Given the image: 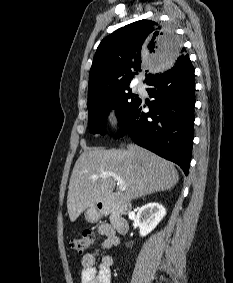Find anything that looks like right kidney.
<instances>
[{"label":"right kidney","mask_w":233,"mask_h":283,"mask_svg":"<svg viewBox=\"0 0 233 283\" xmlns=\"http://www.w3.org/2000/svg\"><path fill=\"white\" fill-rule=\"evenodd\" d=\"M166 215L165 208L156 202L142 206L137 212V222L140 236L148 235Z\"/></svg>","instance_id":"1"}]
</instances>
